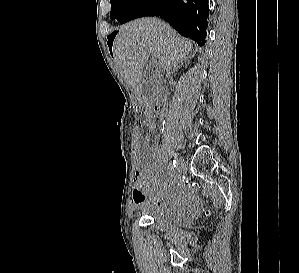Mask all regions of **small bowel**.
Here are the masks:
<instances>
[{"instance_id":"obj_1","label":"small bowel","mask_w":299,"mask_h":273,"mask_svg":"<svg viewBox=\"0 0 299 273\" xmlns=\"http://www.w3.org/2000/svg\"><path fill=\"white\" fill-rule=\"evenodd\" d=\"M145 124L149 132L156 130V122L150 112L147 114ZM139 149L141 154L148 158H155L156 156V152L152 147L143 149L139 145ZM147 195L150 197V206L153 209L189 213L195 207L179 184L163 180L161 163L158 160L150 165L139 163L134 177L133 204H142Z\"/></svg>"}]
</instances>
